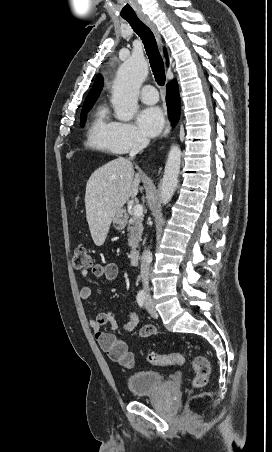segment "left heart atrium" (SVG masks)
<instances>
[{
	"label": "left heart atrium",
	"mask_w": 272,
	"mask_h": 452,
	"mask_svg": "<svg viewBox=\"0 0 272 452\" xmlns=\"http://www.w3.org/2000/svg\"><path fill=\"white\" fill-rule=\"evenodd\" d=\"M139 126L147 136H156L164 126V115L159 107L145 108L138 117Z\"/></svg>",
	"instance_id": "39dd6f15"
}]
</instances>
